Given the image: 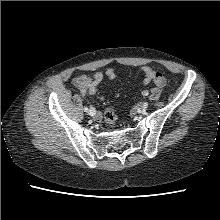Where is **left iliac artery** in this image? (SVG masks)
<instances>
[{
	"instance_id": "left-iliac-artery-1",
	"label": "left iliac artery",
	"mask_w": 220,
	"mask_h": 220,
	"mask_svg": "<svg viewBox=\"0 0 220 220\" xmlns=\"http://www.w3.org/2000/svg\"><path fill=\"white\" fill-rule=\"evenodd\" d=\"M142 94H143L144 96H147V95L149 94V92H148L147 90H145V91L142 92ZM145 103H147V102H145Z\"/></svg>"
}]
</instances>
